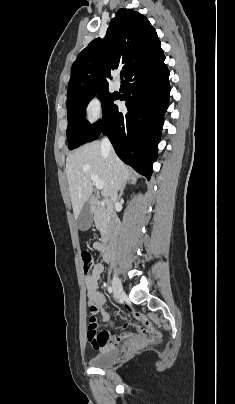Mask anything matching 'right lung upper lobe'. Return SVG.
<instances>
[{
    "mask_svg": "<svg viewBox=\"0 0 235 404\" xmlns=\"http://www.w3.org/2000/svg\"><path fill=\"white\" fill-rule=\"evenodd\" d=\"M164 56L157 33L148 19L131 9H120L104 39L83 49L71 69L67 102L108 89L110 71L123 65L125 78Z\"/></svg>",
    "mask_w": 235,
    "mask_h": 404,
    "instance_id": "obj_1",
    "label": "right lung upper lobe"
}]
</instances>
